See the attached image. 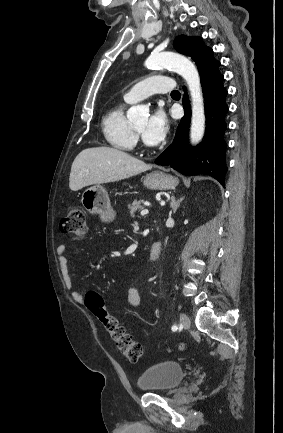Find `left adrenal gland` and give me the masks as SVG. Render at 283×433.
Returning <instances> with one entry per match:
<instances>
[{
    "mask_svg": "<svg viewBox=\"0 0 283 433\" xmlns=\"http://www.w3.org/2000/svg\"><path fill=\"white\" fill-rule=\"evenodd\" d=\"M184 196H182V198H178V200H176L175 196H171V202H170V206L173 210V212H176L178 206H180V202H182Z\"/></svg>",
    "mask_w": 283,
    "mask_h": 433,
    "instance_id": "obj_1",
    "label": "left adrenal gland"
}]
</instances>
